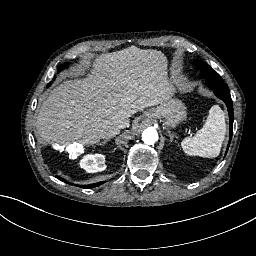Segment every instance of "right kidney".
<instances>
[{
  "mask_svg": "<svg viewBox=\"0 0 256 256\" xmlns=\"http://www.w3.org/2000/svg\"><path fill=\"white\" fill-rule=\"evenodd\" d=\"M79 164L88 173L101 172L106 169L105 156L102 154H87L83 156Z\"/></svg>",
  "mask_w": 256,
  "mask_h": 256,
  "instance_id": "right-kidney-1",
  "label": "right kidney"
}]
</instances>
